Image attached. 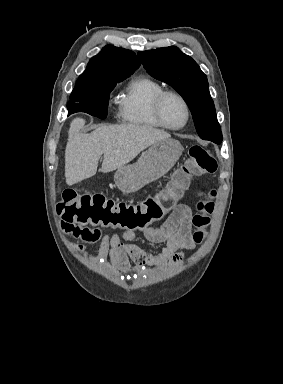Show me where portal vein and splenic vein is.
<instances>
[{"mask_svg": "<svg viewBox=\"0 0 283 384\" xmlns=\"http://www.w3.org/2000/svg\"><path fill=\"white\" fill-rule=\"evenodd\" d=\"M114 152H118V150H114Z\"/></svg>", "mask_w": 283, "mask_h": 384, "instance_id": "obj_1", "label": "portal vein and splenic vein"}]
</instances>
